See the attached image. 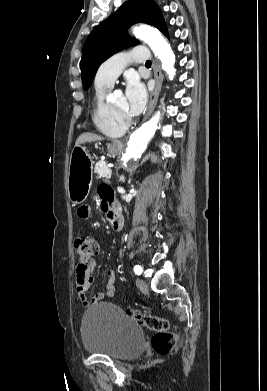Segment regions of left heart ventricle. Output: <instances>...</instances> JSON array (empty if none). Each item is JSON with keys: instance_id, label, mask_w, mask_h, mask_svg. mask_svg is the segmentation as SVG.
Listing matches in <instances>:
<instances>
[{"instance_id": "b2bd125f", "label": "left heart ventricle", "mask_w": 267, "mask_h": 391, "mask_svg": "<svg viewBox=\"0 0 267 391\" xmlns=\"http://www.w3.org/2000/svg\"><path fill=\"white\" fill-rule=\"evenodd\" d=\"M111 105L123 114L130 116L127 111L126 98L124 95L118 96Z\"/></svg>"}]
</instances>
